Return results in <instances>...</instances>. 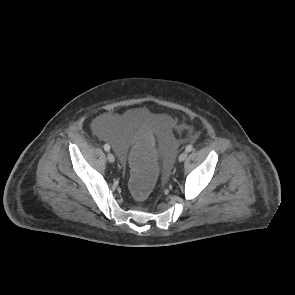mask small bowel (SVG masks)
<instances>
[{
  "instance_id": "obj_1",
  "label": "small bowel",
  "mask_w": 295,
  "mask_h": 295,
  "mask_svg": "<svg viewBox=\"0 0 295 295\" xmlns=\"http://www.w3.org/2000/svg\"><path fill=\"white\" fill-rule=\"evenodd\" d=\"M143 113H145V112H143ZM168 118V120L172 123V119L170 118V117H167Z\"/></svg>"
}]
</instances>
